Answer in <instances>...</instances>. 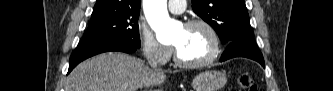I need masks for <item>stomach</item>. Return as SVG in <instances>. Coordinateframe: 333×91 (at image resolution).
<instances>
[{
  "label": "stomach",
  "mask_w": 333,
  "mask_h": 91,
  "mask_svg": "<svg viewBox=\"0 0 333 91\" xmlns=\"http://www.w3.org/2000/svg\"><path fill=\"white\" fill-rule=\"evenodd\" d=\"M227 82L226 74L209 70L197 75L192 82L194 91H219Z\"/></svg>",
  "instance_id": "1"
}]
</instances>
